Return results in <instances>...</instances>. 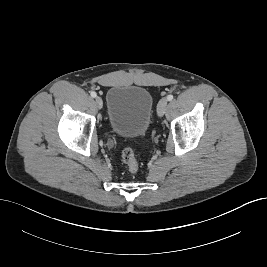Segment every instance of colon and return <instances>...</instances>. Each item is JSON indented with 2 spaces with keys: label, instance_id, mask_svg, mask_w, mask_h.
Wrapping results in <instances>:
<instances>
[{
  "label": "colon",
  "instance_id": "5ec220e1",
  "mask_svg": "<svg viewBox=\"0 0 267 267\" xmlns=\"http://www.w3.org/2000/svg\"><path fill=\"white\" fill-rule=\"evenodd\" d=\"M121 160L125 164L128 172L130 174H135L138 172L139 165L132 149L126 148L121 153Z\"/></svg>",
  "mask_w": 267,
  "mask_h": 267
}]
</instances>
